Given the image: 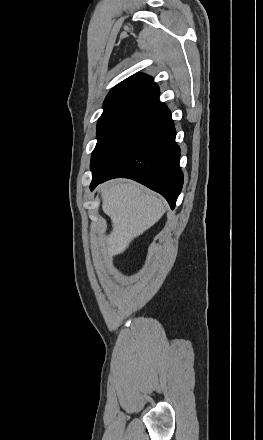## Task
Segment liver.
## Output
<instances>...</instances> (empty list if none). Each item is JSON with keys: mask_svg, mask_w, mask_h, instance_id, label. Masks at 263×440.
I'll list each match as a JSON object with an SVG mask.
<instances>
[{"mask_svg": "<svg viewBox=\"0 0 263 440\" xmlns=\"http://www.w3.org/2000/svg\"><path fill=\"white\" fill-rule=\"evenodd\" d=\"M100 191L102 210L111 218L113 227L102 248L109 258L123 253L133 239L165 213L163 201L136 183L110 181L103 184Z\"/></svg>", "mask_w": 263, "mask_h": 440, "instance_id": "liver-1", "label": "liver"}]
</instances>
